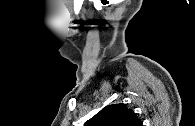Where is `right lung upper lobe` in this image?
<instances>
[{"mask_svg":"<svg viewBox=\"0 0 195 126\" xmlns=\"http://www.w3.org/2000/svg\"><path fill=\"white\" fill-rule=\"evenodd\" d=\"M85 126H143L141 120L123 103L108 105L89 119Z\"/></svg>","mask_w":195,"mask_h":126,"instance_id":"obj_1","label":"right lung upper lobe"}]
</instances>
